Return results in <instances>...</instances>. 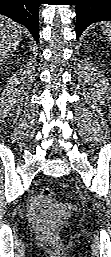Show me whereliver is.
<instances>
[{"mask_svg": "<svg viewBox=\"0 0 111 257\" xmlns=\"http://www.w3.org/2000/svg\"><path fill=\"white\" fill-rule=\"evenodd\" d=\"M23 27L11 19L1 17L0 21V60L3 62L17 49L22 40Z\"/></svg>", "mask_w": 111, "mask_h": 257, "instance_id": "6515ba94", "label": "liver"}]
</instances>
